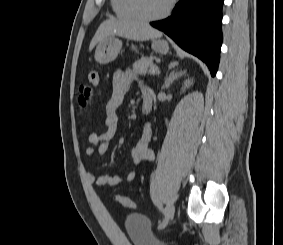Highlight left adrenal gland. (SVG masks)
Returning <instances> with one entry per match:
<instances>
[{"label":"left adrenal gland","mask_w":283,"mask_h":245,"mask_svg":"<svg viewBox=\"0 0 283 245\" xmlns=\"http://www.w3.org/2000/svg\"><path fill=\"white\" fill-rule=\"evenodd\" d=\"M186 73V70L184 71H171L169 76L166 77L164 85L162 86V89H168L170 87V85L174 82V80L178 79L179 77H181L182 75H184Z\"/></svg>","instance_id":"obj_1"}]
</instances>
